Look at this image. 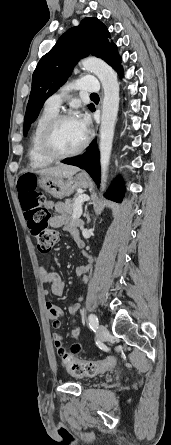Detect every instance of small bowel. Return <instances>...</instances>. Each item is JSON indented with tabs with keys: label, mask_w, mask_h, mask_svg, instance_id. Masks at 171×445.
I'll return each mask as SVG.
<instances>
[{
	"label": "small bowel",
	"mask_w": 171,
	"mask_h": 445,
	"mask_svg": "<svg viewBox=\"0 0 171 445\" xmlns=\"http://www.w3.org/2000/svg\"><path fill=\"white\" fill-rule=\"evenodd\" d=\"M45 206L48 209H52L55 207V203L53 201H47ZM51 225L55 228H65L72 234V236L76 240L77 238H79L78 228L80 226V222L71 220L66 214H58L53 216L51 218ZM88 262H89L88 265H80L76 269V274L83 281H86L87 274L90 270V266L92 263L91 257H88ZM40 280L44 286L49 287V290L47 289L44 290L45 295L51 293L54 296L60 297L64 294L65 283L63 282L58 273L48 272L44 267H41ZM45 308L49 319L52 321V326L55 329L60 328L62 325V318L64 317L63 309L52 302H46ZM79 308H80V303L76 301L69 307V312L71 314H75L79 310ZM80 333H81L80 325L78 323H74L73 327L71 328L70 334L76 340V342L71 345L70 348L71 353H77L82 349V343L79 341ZM53 339H54V347L57 353L62 354L63 352H65L62 336L57 333H54ZM112 365L113 363L107 369L111 368Z\"/></svg>",
	"instance_id": "1"
}]
</instances>
